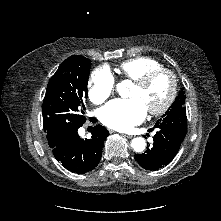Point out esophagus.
<instances>
[{"mask_svg":"<svg viewBox=\"0 0 221 221\" xmlns=\"http://www.w3.org/2000/svg\"><path fill=\"white\" fill-rule=\"evenodd\" d=\"M123 136L129 139L133 137L132 135H127V134H123Z\"/></svg>","mask_w":221,"mask_h":221,"instance_id":"obj_1","label":"esophagus"}]
</instances>
